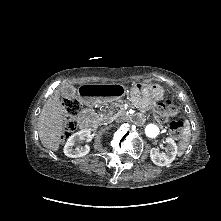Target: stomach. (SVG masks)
Listing matches in <instances>:
<instances>
[{"label": "stomach", "mask_w": 221, "mask_h": 221, "mask_svg": "<svg viewBox=\"0 0 221 221\" xmlns=\"http://www.w3.org/2000/svg\"><path fill=\"white\" fill-rule=\"evenodd\" d=\"M163 95L164 89L156 83H135L130 90L131 102L142 108L162 99Z\"/></svg>", "instance_id": "stomach-1"}]
</instances>
